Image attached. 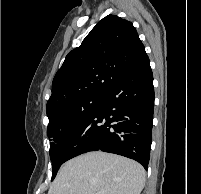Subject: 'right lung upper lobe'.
<instances>
[{
    "mask_svg": "<svg viewBox=\"0 0 201 194\" xmlns=\"http://www.w3.org/2000/svg\"><path fill=\"white\" fill-rule=\"evenodd\" d=\"M146 57L131 22L114 15L104 17L56 73L47 115L79 99L104 95Z\"/></svg>",
    "mask_w": 201,
    "mask_h": 194,
    "instance_id": "1",
    "label": "right lung upper lobe"
}]
</instances>
